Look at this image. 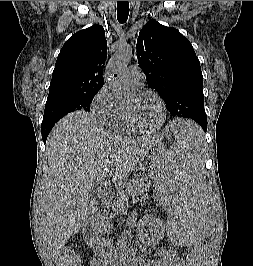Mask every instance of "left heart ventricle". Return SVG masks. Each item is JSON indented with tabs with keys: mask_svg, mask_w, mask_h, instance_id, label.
Here are the masks:
<instances>
[{
	"mask_svg": "<svg viewBox=\"0 0 253 266\" xmlns=\"http://www.w3.org/2000/svg\"><path fill=\"white\" fill-rule=\"evenodd\" d=\"M127 103L132 105L141 127L154 128L161 122L162 109L159 101L153 95H144L139 98H133L130 95Z\"/></svg>",
	"mask_w": 253,
	"mask_h": 266,
	"instance_id": "obj_1",
	"label": "left heart ventricle"
}]
</instances>
